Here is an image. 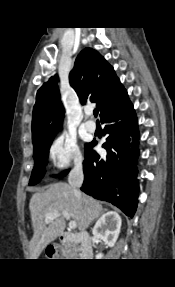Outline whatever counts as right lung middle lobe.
Segmentation results:
<instances>
[{
  "label": "right lung middle lobe",
  "instance_id": "obj_1",
  "mask_svg": "<svg viewBox=\"0 0 175 287\" xmlns=\"http://www.w3.org/2000/svg\"><path fill=\"white\" fill-rule=\"evenodd\" d=\"M54 136H55V134L50 136V137H47L43 140H40L36 143H33V145H34L33 158L35 160V165H34V168L32 171L29 185L37 184L42 179V177L44 176L45 171H46L45 165L47 164V157L49 154V148L51 146V143H52ZM88 145L89 144L85 145L86 149H87ZM67 172L68 171L63 172L60 175V177L64 176Z\"/></svg>",
  "mask_w": 175,
  "mask_h": 287
}]
</instances>
